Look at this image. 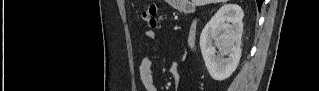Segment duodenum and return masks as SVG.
Returning <instances> with one entry per match:
<instances>
[{"label":"duodenum","instance_id":"1","mask_svg":"<svg viewBox=\"0 0 319 91\" xmlns=\"http://www.w3.org/2000/svg\"><path fill=\"white\" fill-rule=\"evenodd\" d=\"M186 11L191 13L193 12V8L191 6H188L186 8ZM197 30H198V25H197V22L194 21L191 26H190V30H189V33H188V38H187V43H188V46L189 48H193L194 45H195V42H196V37H197Z\"/></svg>","mask_w":319,"mask_h":91}]
</instances>
